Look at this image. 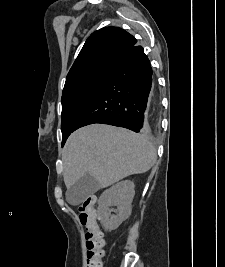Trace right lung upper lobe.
I'll return each mask as SVG.
<instances>
[{
    "instance_id": "right-lung-upper-lobe-1",
    "label": "right lung upper lobe",
    "mask_w": 225,
    "mask_h": 267,
    "mask_svg": "<svg viewBox=\"0 0 225 267\" xmlns=\"http://www.w3.org/2000/svg\"><path fill=\"white\" fill-rule=\"evenodd\" d=\"M137 40L119 27H105L92 33L72 65L65 86L83 78L108 73L117 58L135 46Z\"/></svg>"
}]
</instances>
